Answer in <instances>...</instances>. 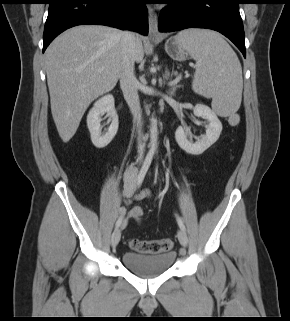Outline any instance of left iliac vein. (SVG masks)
I'll list each match as a JSON object with an SVG mask.
<instances>
[{"mask_svg": "<svg viewBox=\"0 0 290 321\" xmlns=\"http://www.w3.org/2000/svg\"><path fill=\"white\" fill-rule=\"evenodd\" d=\"M177 237L182 246L186 247L188 245V238L185 231L179 229L177 232Z\"/></svg>", "mask_w": 290, "mask_h": 321, "instance_id": "left-iliac-vein-1", "label": "left iliac vein"}]
</instances>
